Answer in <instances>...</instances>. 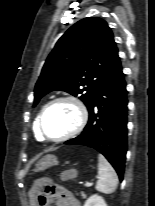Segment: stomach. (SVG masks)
Returning <instances> with one entry per match:
<instances>
[{
	"label": "stomach",
	"instance_id": "1",
	"mask_svg": "<svg viewBox=\"0 0 155 206\" xmlns=\"http://www.w3.org/2000/svg\"><path fill=\"white\" fill-rule=\"evenodd\" d=\"M58 164L57 157L54 155H46L36 165V170L41 171L48 167H52Z\"/></svg>",
	"mask_w": 155,
	"mask_h": 206
}]
</instances>
